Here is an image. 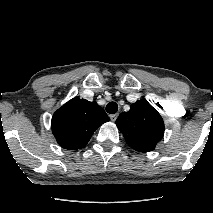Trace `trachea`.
I'll return each instance as SVG.
<instances>
[{
  "mask_svg": "<svg viewBox=\"0 0 213 213\" xmlns=\"http://www.w3.org/2000/svg\"><path fill=\"white\" fill-rule=\"evenodd\" d=\"M106 111L109 114H115L118 111V105L116 102H109L106 106Z\"/></svg>",
  "mask_w": 213,
  "mask_h": 213,
  "instance_id": "3493384b",
  "label": "trachea"
}]
</instances>
